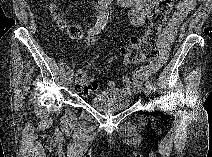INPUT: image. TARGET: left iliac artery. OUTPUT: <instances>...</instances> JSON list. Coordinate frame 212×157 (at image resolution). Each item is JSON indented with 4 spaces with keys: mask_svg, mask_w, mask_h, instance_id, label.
I'll list each match as a JSON object with an SVG mask.
<instances>
[{
    "mask_svg": "<svg viewBox=\"0 0 212 157\" xmlns=\"http://www.w3.org/2000/svg\"><path fill=\"white\" fill-rule=\"evenodd\" d=\"M146 87L149 88L151 91L156 90L155 86L150 81H146Z\"/></svg>",
    "mask_w": 212,
    "mask_h": 157,
    "instance_id": "left-iliac-artery-1",
    "label": "left iliac artery"
}]
</instances>
